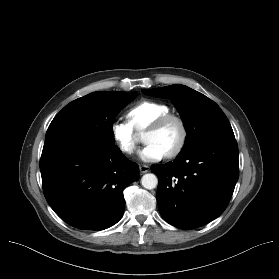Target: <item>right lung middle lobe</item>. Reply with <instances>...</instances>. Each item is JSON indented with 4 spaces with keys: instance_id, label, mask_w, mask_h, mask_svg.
<instances>
[{
    "instance_id": "dd1d6c3e",
    "label": "right lung middle lobe",
    "mask_w": 279,
    "mask_h": 279,
    "mask_svg": "<svg viewBox=\"0 0 279 279\" xmlns=\"http://www.w3.org/2000/svg\"><path fill=\"white\" fill-rule=\"evenodd\" d=\"M136 96L137 92L101 91L70 102L49 125L45 142L72 136L102 147L115 146L114 119Z\"/></svg>"
}]
</instances>
